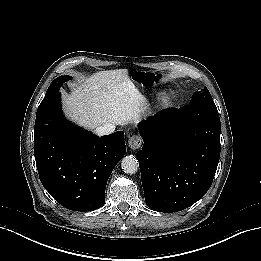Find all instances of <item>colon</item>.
I'll list each match as a JSON object with an SVG mask.
<instances>
[{
	"label": "colon",
	"mask_w": 261,
	"mask_h": 261,
	"mask_svg": "<svg viewBox=\"0 0 261 261\" xmlns=\"http://www.w3.org/2000/svg\"><path fill=\"white\" fill-rule=\"evenodd\" d=\"M142 81L144 82H155L156 76L151 73H142L141 74Z\"/></svg>",
	"instance_id": "colon-1"
}]
</instances>
